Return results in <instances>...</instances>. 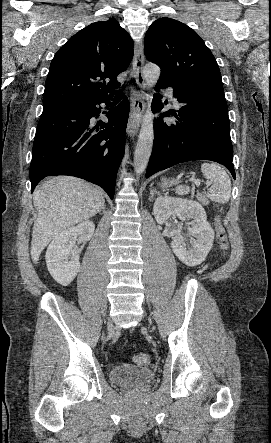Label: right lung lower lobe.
Segmentation results:
<instances>
[{
    "label": "right lung lower lobe",
    "mask_w": 271,
    "mask_h": 443,
    "mask_svg": "<svg viewBox=\"0 0 271 443\" xmlns=\"http://www.w3.org/2000/svg\"><path fill=\"white\" fill-rule=\"evenodd\" d=\"M110 98L73 101L43 109L30 165L31 190L46 176H76L101 186L113 199L115 180L124 155L129 116L126 97L108 114V123L92 128L96 107ZM103 129L92 134L94 129Z\"/></svg>",
    "instance_id": "1"
}]
</instances>
